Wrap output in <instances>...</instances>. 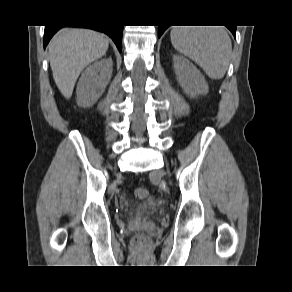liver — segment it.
<instances>
[{"instance_id": "6515ba94", "label": "liver", "mask_w": 292, "mask_h": 292, "mask_svg": "<svg viewBox=\"0 0 292 292\" xmlns=\"http://www.w3.org/2000/svg\"><path fill=\"white\" fill-rule=\"evenodd\" d=\"M105 35L89 29L64 28L49 43V59L54 81L69 99L82 70L108 50Z\"/></svg>"}]
</instances>
